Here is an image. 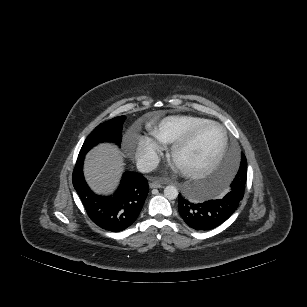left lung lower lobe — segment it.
Here are the masks:
<instances>
[{"mask_svg":"<svg viewBox=\"0 0 307 307\" xmlns=\"http://www.w3.org/2000/svg\"><path fill=\"white\" fill-rule=\"evenodd\" d=\"M242 164L247 166L245 155L241 153ZM246 158V157H245ZM244 191L239 183H232L230 191L222 198L205 202H195L179 194L178 210L184 221L195 230H210L225 222L237 209Z\"/></svg>","mask_w":307,"mask_h":307,"instance_id":"0a47b994","label":"left lung lower lobe"}]
</instances>
